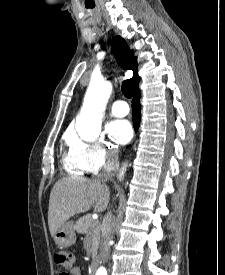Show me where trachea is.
I'll use <instances>...</instances> for the list:
<instances>
[{
  "label": "trachea",
  "mask_w": 225,
  "mask_h": 275,
  "mask_svg": "<svg viewBox=\"0 0 225 275\" xmlns=\"http://www.w3.org/2000/svg\"><path fill=\"white\" fill-rule=\"evenodd\" d=\"M122 93L126 98H131L132 96V88H131V84L125 80L122 83Z\"/></svg>",
  "instance_id": "obj_1"
}]
</instances>
